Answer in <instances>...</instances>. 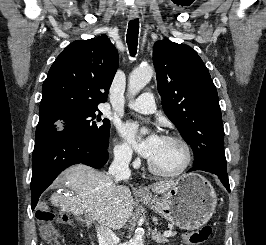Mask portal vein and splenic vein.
<instances>
[{"label":"portal vein and splenic vein","mask_w":266,"mask_h":245,"mask_svg":"<svg viewBox=\"0 0 266 245\" xmlns=\"http://www.w3.org/2000/svg\"><path fill=\"white\" fill-rule=\"evenodd\" d=\"M173 233L172 231H164L163 237H172Z\"/></svg>","instance_id":"portal-vein-and-splenic-vein-1"}]
</instances>
